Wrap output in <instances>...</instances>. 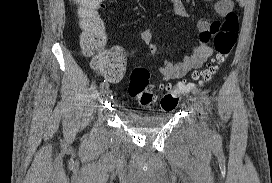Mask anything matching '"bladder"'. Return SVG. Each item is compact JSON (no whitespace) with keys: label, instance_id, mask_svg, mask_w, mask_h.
I'll return each instance as SVG.
<instances>
[{"label":"bladder","instance_id":"bladder-1","mask_svg":"<svg viewBox=\"0 0 272 183\" xmlns=\"http://www.w3.org/2000/svg\"><path fill=\"white\" fill-rule=\"evenodd\" d=\"M121 118L130 127L141 130H155L166 126L171 115H140L134 112H123Z\"/></svg>","mask_w":272,"mask_h":183}]
</instances>
